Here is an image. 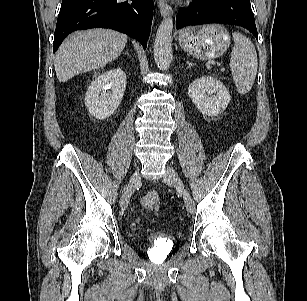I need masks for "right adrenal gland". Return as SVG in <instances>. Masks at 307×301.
<instances>
[{"instance_id":"2a0ac1e0","label":"right adrenal gland","mask_w":307,"mask_h":301,"mask_svg":"<svg viewBox=\"0 0 307 301\" xmlns=\"http://www.w3.org/2000/svg\"><path fill=\"white\" fill-rule=\"evenodd\" d=\"M126 54H127L128 56H130L129 53H128V51H126Z\"/></svg>"}]
</instances>
